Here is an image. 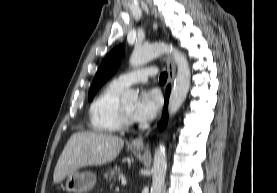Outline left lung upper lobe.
Instances as JSON below:
<instances>
[{
  "label": "left lung upper lobe",
  "instance_id": "left-lung-upper-lobe-1",
  "mask_svg": "<svg viewBox=\"0 0 277 193\" xmlns=\"http://www.w3.org/2000/svg\"><path fill=\"white\" fill-rule=\"evenodd\" d=\"M124 55V47L113 49L99 67L89 91V100H92L99 88L116 72Z\"/></svg>",
  "mask_w": 277,
  "mask_h": 193
}]
</instances>
